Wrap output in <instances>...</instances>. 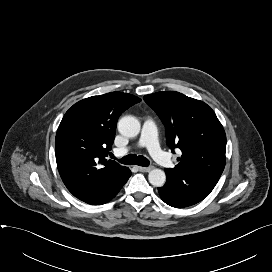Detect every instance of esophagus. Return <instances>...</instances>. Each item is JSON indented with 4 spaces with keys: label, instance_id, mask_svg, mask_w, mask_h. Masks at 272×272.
I'll list each match as a JSON object with an SVG mask.
<instances>
[{
    "label": "esophagus",
    "instance_id": "esophagus-1",
    "mask_svg": "<svg viewBox=\"0 0 272 272\" xmlns=\"http://www.w3.org/2000/svg\"><path fill=\"white\" fill-rule=\"evenodd\" d=\"M153 169V166H149V167H138V170L140 171V172H149V171H151Z\"/></svg>",
    "mask_w": 272,
    "mask_h": 272
}]
</instances>
